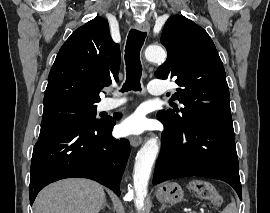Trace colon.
Returning a JSON list of instances; mask_svg holds the SVG:
<instances>
[{
	"label": "colon",
	"instance_id": "5ec220e1",
	"mask_svg": "<svg viewBox=\"0 0 270 213\" xmlns=\"http://www.w3.org/2000/svg\"><path fill=\"white\" fill-rule=\"evenodd\" d=\"M192 190L200 198L211 201L215 206L221 204V196L209 181L198 180L192 183Z\"/></svg>",
	"mask_w": 270,
	"mask_h": 213
}]
</instances>
